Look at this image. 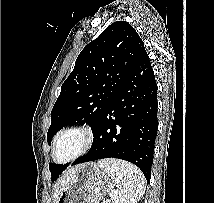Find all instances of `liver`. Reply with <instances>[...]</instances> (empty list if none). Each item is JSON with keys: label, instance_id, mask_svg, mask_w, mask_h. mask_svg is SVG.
Segmentation results:
<instances>
[{"label": "liver", "instance_id": "1", "mask_svg": "<svg viewBox=\"0 0 214 203\" xmlns=\"http://www.w3.org/2000/svg\"><path fill=\"white\" fill-rule=\"evenodd\" d=\"M82 165L75 166L73 168L68 169L64 174L58 179L57 184L55 186L54 194H53V203H57L59 196L63 190H65L75 179V176L78 172V169Z\"/></svg>", "mask_w": 214, "mask_h": 203}]
</instances>
